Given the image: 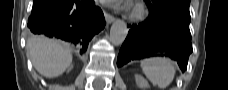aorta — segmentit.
Instances as JSON below:
<instances>
[{
  "label": "aorta",
  "instance_id": "1",
  "mask_svg": "<svg viewBox=\"0 0 228 90\" xmlns=\"http://www.w3.org/2000/svg\"><path fill=\"white\" fill-rule=\"evenodd\" d=\"M128 34V29L125 22L116 20L110 30V41L114 45H121Z\"/></svg>",
  "mask_w": 228,
  "mask_h": 90
}]
</instances>
